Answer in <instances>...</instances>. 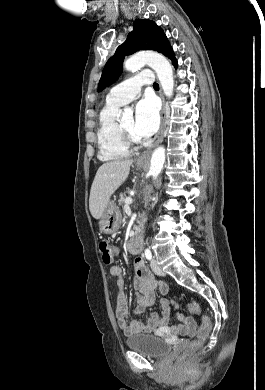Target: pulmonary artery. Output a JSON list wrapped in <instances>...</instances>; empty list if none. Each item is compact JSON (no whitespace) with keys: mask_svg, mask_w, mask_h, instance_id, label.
Instances as JSON below:
<instances>
[{"mask_svg":"<svg viewBox=\"0 0 265 390\" xmlns=\"http://www.w3.org/2000/svg\"><path fill=\"white\" fill-rule=\"evenodd\" d=\"M153 75L149 70L130 77L113 87L107 95V102L125 105L134 100L140 93L143 85H151Z\"/></svg>","mask_w":265,"mask_h":390,"instance_id":"e3ab8cb5","label":"pulmonary artery"}]
</instances>
